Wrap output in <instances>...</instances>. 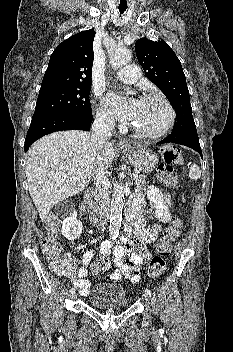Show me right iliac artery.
<instances>
[{"mask_svg":"<svg viewBox=\"0 0 233 352\" xmlns=\"http://www.w3.org/2000/svg\"><path fill=\"white\" fill-rule=\"evenodd\" d=\"M70 292L71 294L75 293V288H71Z\"/></svg>","mask_w":233,"mask_h":352,"instance_id":"obj_1","label":"right iliac artery"}]
</instances>
